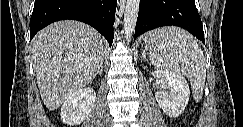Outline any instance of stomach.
I'll return each instance as SVG.
<instances>
[{
	"instance_id": "obj_1",
	"label": "stomach",
	"mask_w": 243,
	"mask_h": 127,
	"mask_svg": "<svg viewBox=\"0 0 243 127\" xmlns=\"http://www.w3.org/2000/svg\"><path fill=\"white\" fill-rule=\"evenodd\" d=\"M155 32H156V31H155ZM155 32H150V33H148V34L146 35V37H147V36H150L151 34H153V33H155ZM146 37L144 38L145 49H146V50H151V51L156 50V49H157V43L154 42V41H152L151 38H150V39L148 38V39L146 40Z\"/></svg>"
}]
</instances>
